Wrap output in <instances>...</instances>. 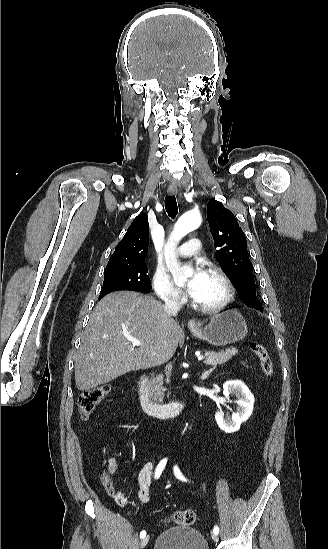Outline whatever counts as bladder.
<instances>
[{"label": "bladder", "mask_w": 328, "mask_h": 549, "mask_svg": "<svg viewBox=\"0 0 328 549\" xmlns=\"http://www.w3.org/2000/svg\"><path fill=\"white\" fill-rule=\"evenodd\" d=\"M155 549H208V546L197 528L180 526L163 531L155 541Z\"/></svg>", "instance_id": "1"}]
</instances>
